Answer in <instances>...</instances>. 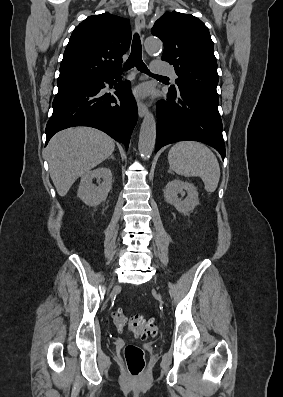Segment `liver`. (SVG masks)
Returning a JSON list of instances; mask_svg holds the SVG:
<instances>
[{
	"instance_id": "liver-1",
	"label": "liver",
	"mask_w": 283,
	"mask_h": 397,
	"mask_svg": "<svg viewBox=\"0 0 283 397\" xmlns=\"http://www.w3.org/2000/svg\"><path fill=\"white\" fill-rule=\"evenodd\" d=\"M114 149V140L94 128H68L55 134L47 156L58 194L65 196L77 178L107 159Z\"/></svg>"
}]
</instances>
